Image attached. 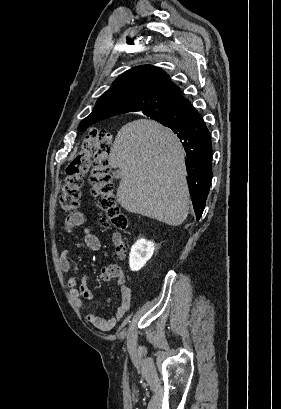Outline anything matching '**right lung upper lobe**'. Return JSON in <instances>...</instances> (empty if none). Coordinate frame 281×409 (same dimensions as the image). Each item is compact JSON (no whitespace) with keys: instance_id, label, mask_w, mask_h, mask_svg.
<instances>
[{"instance_id":"1","label":"right lung upper lobe","mask_w":281,"mask_h":409,"mask_svg":"<svg viewBox=\"0 0 281 409\" xmlns=\"http://www.w3.org/2000/svg\"><path fill=\"white\" fill-rule=\"evenodd\" d=\"M185 100L180 89L160 68L143 65L120 75L97 101L92 113L79 126L86 130L94 123L127 112L157 110Z\"/></svg>"}]
</instances>
